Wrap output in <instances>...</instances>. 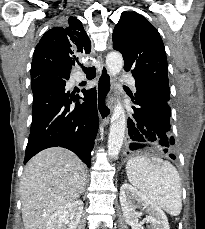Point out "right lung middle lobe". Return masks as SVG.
Segmentation results:
<instances>
[{
    "instance_id": "dd1d6c3e",
    "label": "right lung middle lobe",
    "mask_w": 205,
    "mask_h": 229,
    "mask_svg": "<svg viewBox=\"0 0 205 229\" xmlns=\"http://www.w3.org/2000/svg\"><path fill=\"white\" fill-rule=\"evenodd\" d=\"M61 77L65 78V79H68V78H69V77H67V76H61Z\"/></svg>"
}]
</instances>
